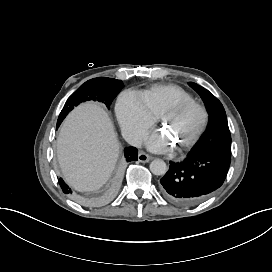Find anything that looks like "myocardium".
Returning a JSON list of instances; mask_svg holds the SVG:
<instances>
[{"label":"myocardium","instance_id":"f54148a6","mask_svg":"<svg viewBox=\"0 0 272 272\" xmlns=\"http://www.w3.org/2000/svg\"><path fill=\"white\" fill-rule=\"evenodd\" d=\"M192 109L198 112V121L190 132L189 136L183 141V145L185 147L191 145L200 134L207 118L205 108L194 101L175 100L171 102L161 113V120L164 121V117L167 113H178Z\"/></svg>","mask_w":272,"mask_h":272}]
</instances>
